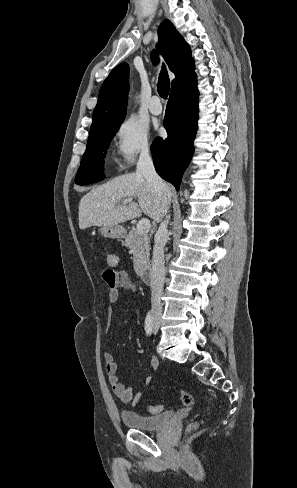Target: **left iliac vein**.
<instances>
[{
    "mask_svg": "<svg viewBox=\"0 0 297 488\" xmlns=\"http://www.w3.org/2000/svg\"><path fill=\"white\" fill-rule=\"evenodd\" d=\"M157 331H158V326H157V325H156V323H155V326H154V333L156 334V333H157Z\"/></svg>",
    "mask_w": 297,
    "mask_h": 488,
    "instance_id": "1",
    "label": "left iliac vein"
}]
</instances>
